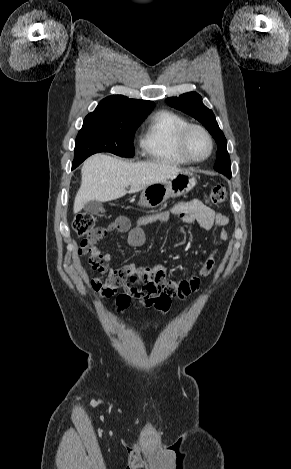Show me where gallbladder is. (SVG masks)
Instances as JSON below:
<instances>
[{
	"label": "gallbladder",
	"mask_w": 291,
	"mask_h": 469,
	"mask_svg": "<svg viewBox=\"0 0 291 469\" xmlns=\"http://www.w3.org/2000/svg\"><path fill=\"white\" fill-rule=\"evenodd\" d=\"M84 210L92 215H97L103 208L101 202L96 200H91L84 205Z\"/></svg>",
	"instance_id": "bac80fb5"
}]
</instances>
